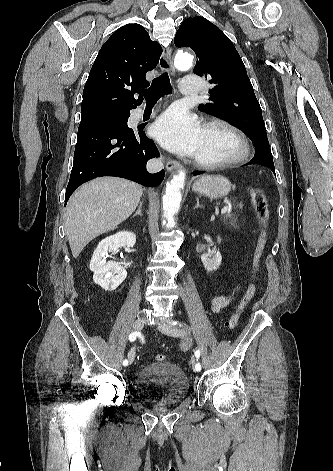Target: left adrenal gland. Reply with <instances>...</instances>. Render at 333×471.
<instances>
[{
  "label": "left adrenal gland",
  "mask_w": 333,
  "mask_h": 471,
  "mask_svg": "<svg viewBox=\"0 0 333 471\" xmlns=\"http://www.w3.org/2000/svg\"><path fill=\"white\" fill-rule=\"evenodd\" d=\"M196 201H197V203H196L194 209L199 208V207L201 208L202 206L199 203V198L198 197H196Z\"/></svg>",
  "instance_id": "obj_1"
}]
</instances>
